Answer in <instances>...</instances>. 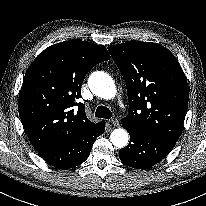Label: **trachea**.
<instances>
[{
    "label": "trachea",
    "instance_id": "trachea-1",
    "mask_svg": "<svg viewBox=\"0 0 206 206\" xmlns=\"http://www.w3.org/2000/svg\"><path fill=\"white\" fill-rule=\"evenodd\" d=\"M95 116L98 118L110 119L112 117V112L105 106H99L96 109Z\"/></svg>",
    "mask_w": 206,
    "mask_h": 206
}]
</instances>
